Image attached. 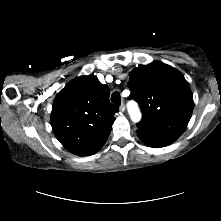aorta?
<instances>
[{"label": "aorta", "mask_w": 221, "mask_h": 221, "mask_svg": "<svg viewBox=\"0 0 221 221\" xmlns=\"http://www.w3.org/2000/svg\"><path fill=\"white\" fill-rule=\"evenodd\" d=\"M129 114H130V117H131L133 122L140 121L141 113H140V110H139V108H138V106L136 104L132 103L129 106Z\"/></svg>", "instance_id": "aorta-1"}]
</instances>
